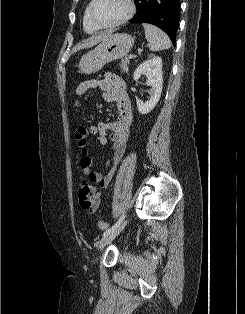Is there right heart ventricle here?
<instances>
[{"mask_svg":"<svg viewBox=\"0 0 245 314\" xmlns=\"http://www.w3.org/2000/svg\"><path fill=\"white\" fill-rule=\"evenodd\" d=\"M89 5H87V7L84 10V14H83V28L85 30V32L87 33H95L96 31H98L99 29L92 23V21L89 18Z\"/></svg>","mask_w":245,"mask_h":314,"instance_id":"right-heart-ventricle-1","label":"right heart ventricle"}]
</instances>
